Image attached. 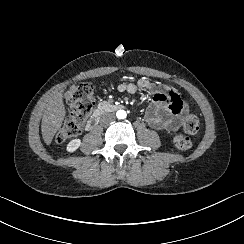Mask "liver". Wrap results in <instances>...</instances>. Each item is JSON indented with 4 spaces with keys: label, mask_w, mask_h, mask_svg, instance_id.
Wrapping results in <instances>:
<instances>
[{
    "label": "liver",
    "mask_w": 244,
    "mask_h": 244,
    "mask_svg": "<svg viewBox=\"0 0 244 244\" xmlns=\"http://www.w3.org/2000/svg\"><path fill=\"white\" fill-rule=\"evenodd\" d=\"M66 108L63 101V91L54 94L42 118V135L47 145H50L57 131L61 128L66 118Z\"/></svg>",
    "instance_id": "1"
}]
</instances>
